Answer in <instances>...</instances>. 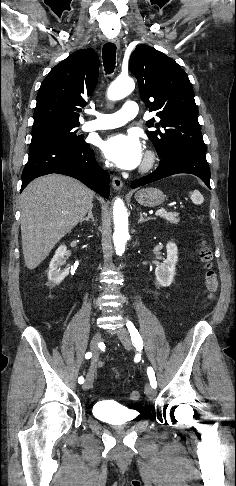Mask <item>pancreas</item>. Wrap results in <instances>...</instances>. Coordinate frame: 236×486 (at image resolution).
I'll use <instances>...</instances> for the list:
<instances>
[{
  "label": "pancreas",
  "instance_id": "1",
  "mask_svg": "<svg viewBox=\"0 0 236 486\" xmlns=\"http://www.w3.org/2000/svg\"><path fill=\"white\" fill-rule=\"evenodd\" d=\"M179 214L178 213H173V212H165L161 215L162 218L166 219L168 222L173 223V224H178L179 223Z\"/></svg>",
  "mask_w": 236,
  "mask_h": 486
}]
</instances>
